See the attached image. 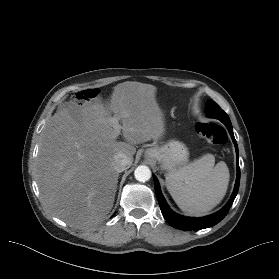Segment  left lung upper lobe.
I'll return each instance as SVG.
<instances>
[{"label": "left lung upper lobe", "instance_id": "1", "mask_svg": "<svg viewBox=\"0 0 279 279\" xmlns=\"http://www.w3.org/2000/svg\"><path fill=\"white\" fill-rule=\"evenodd\" d=\"M207 111V116L210 118L219 119L223 123L231 122L228 115L214 101H210L207 103Z\"/></svg>", "mask_w": 279, "mask_h": 279}]
</instances>
